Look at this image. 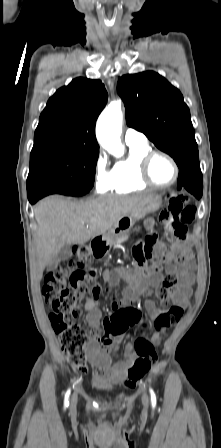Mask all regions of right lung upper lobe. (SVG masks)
<instances>
[{"instance_id":"cb5924a9","label":"right lung upper lobe","mask_w":221,"mask_h":448,"mask_svg":"<svg viewBox=\"0 0 221 448\" xmlns=\"http://www.w3.org/2000/svg\"><path fill=\"white\" fill-rule=\"evenodd\" d=\"M107 97L100 80L76 78L58 89L40 115L33 148L60 143L99 148L95 123Z\"/></svg>"}]
</instances>
